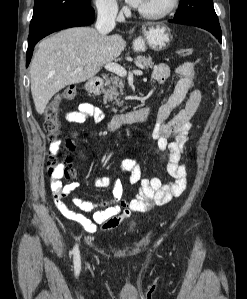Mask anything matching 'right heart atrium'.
<instances>
[{"mask_svg":"<svg viewBox=\"0 0 247 299\" xmlns=\"http://www.w3.org/2000/svg\"><path fill=\"white\" fill-rule=\"evenodd\" d=\"M98 14L105 19L116 18L120 13L118 0H94Z\"/></svg>","mask_w":247,"mask_h":299,"instance_id":"right-heart-atrium-1","label":"right heart atrium"}]
</instances>
